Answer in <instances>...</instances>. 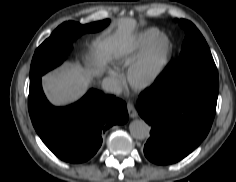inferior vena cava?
<instances>
[{"label": "inferior vena cava", "instance_id": "inferior-vena-cava-1", "mask_svg": "<svg viewBox=\"0 0 236 182\" xmlns=\"http://www.w3.org/2000/svg\"><path fill=\"white\" fill-rule=\"evenodd\" d=\"M102 89L105 92L113 93L116 95H119L122 92V86L120 82L112 77H106L102 80Z\"/></svg>", "mask_w": 236, "mask_h": 182}]
</instances>
